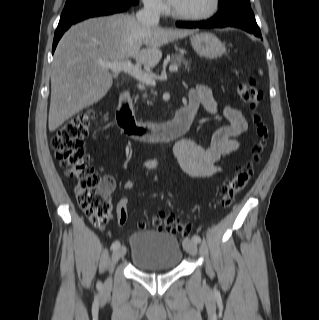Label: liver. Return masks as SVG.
<instances>
[{
    "label": "liver",
    "mask_w": 319,
    "mask_h": 320,
    "mask_svg": "<svg viewBox=\"0 0 319 320\" xmlns=\"http://www.w3.org/2000/svg\"><path fill=\"white\" fill-rule=\"evenodd\" d=\"M193 30L147 27L133 15L115 14L88 19L72 26L60 39L51 73L48 126L55 131L84 108L102 99L113 78L101 62H123L156 66L159 47L192 34ZM145 45V48H142Z\"/></svg>",
    "instance_id": "obj_1"
}]
</instances>
